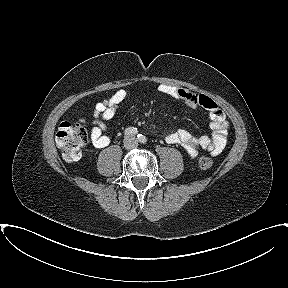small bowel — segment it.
Listing matches in <instances>:
<instances>
[{
  "mask_svg": "<svg viewBox=\"0 0 288 288\" xmlns=\"http://www.w3.org/2000/svg\"><path fill=\"white\" fill-rule=\"evenodd\" d=\"M158 90L162 94L183 101L189 108H204L210 117L212 129L210 137L206 135L195 136L187 130L180 129L166 136L167 143L182 146L191 158L197 157L200 150L208 151L212 155H218L224 150L227 143L229 122L213 99L204 94H195L185 88L167 84L159 85ZM128 94L127 90L121 89L108 99L95 105L90 137L96 148H104L109 145L110 137L108 136L107 122L115 116L117 109L126 100Z\"/></svg>",
  "mask_w": 288,
  "mask_h": 288,
  "instance_id": "small-bowel-1",
  "label": "small bowel"
}]
</instances>
